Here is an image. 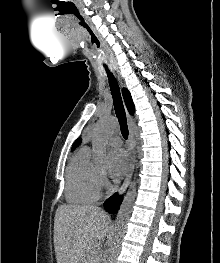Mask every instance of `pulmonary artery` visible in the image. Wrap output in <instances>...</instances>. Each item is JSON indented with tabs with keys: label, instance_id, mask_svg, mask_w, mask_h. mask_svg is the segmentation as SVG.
Listing matches in <instances>:
<instances>
[{
	"label": "pulmonary artery",
	"instance_id": "obj_1",
	"mask_svg": "<svg viewBox=\"0 0 220 263\" xmlns=\"http://www.w3.org/2000/svg\"><path fill=\"white\" fill-rule=\"evenodd\" d=\"M109 145L118 147L122 144V140L119 136H113L108 140Z\"/></svg>",
	"mask_w": 220,
	"mask_h": 263
}]
</instances>
